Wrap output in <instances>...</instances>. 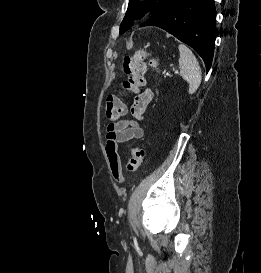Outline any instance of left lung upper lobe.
<instances>
[{
	"label": "left lung upper lobe",
	"mask_w": 261,
	"mask_h": 273,
	"mask_svg": "<svg viewBox=\"0 0 261 273\" xmlns=\"http://www.w3.org/2000/svg\"><path fill=\"white\" fill-rule=\"evenodd\" d=\"M172 0H130L126 15L120 25V34L133 26L134 20L142 18L146 13L155 14L165 8Z\"/></svg>",
	"instance_id": "obj_1"
}]
</instances>
